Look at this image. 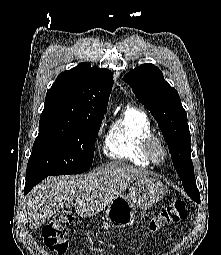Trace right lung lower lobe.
Listing matches in <instances>:
<instances>
[{
  "mask_svg": "<svg viewBox=\"0 0 221 255\" xmlns=\"http://www.w3.org/2000/svg\"><path fill=\"white\" fill-rule=\"evenodd\" d=\"M45 177L47 176H43V175L26 176L24 194H27L35 185H37Z\"/></svg>",
  "mask_w": 221,
  "mask_h": 255,
  "instance_id": "right-lung-lower-lobe-1",
  "label": "right lung lower lobe"
}]
</instances>
